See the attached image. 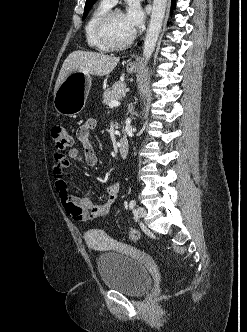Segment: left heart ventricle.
<instances>
[{"label":"left heart ventricle","mask_w":247,"mask_h":332,"mask_svg":"<svg viewBox=\"0 0 247 332\" xmlns=\"http://www.w3.org/2000/svg\"><path fill=\"white\" fill-rule=\"evenodd\" d=\"M133 30L127 24L123 13H116L109 24L108 35L110 39L115 43L125 41Z\"/></svg>","instance_id":"obj_1"}]
</instances>
